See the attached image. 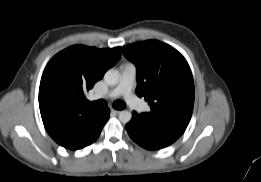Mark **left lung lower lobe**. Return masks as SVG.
I'll return each mask as SVG.
<instances>
[{"mask_svg":"<svg viewBox=\"0 0 261 182\" xmlns=\"http://www.w3.org/2000/svg\"><path fill=\"white\" fill-rule=\"evenodd\" d=\"M126 129L133 141L149 150L169 146L183 133L173 128L148 124L136 112H133Z\"/></svg>","mask_w":261,"mask_h":182,"instance_id":"0a47b994","label":"left lung lower lobe"}]
</instances>
